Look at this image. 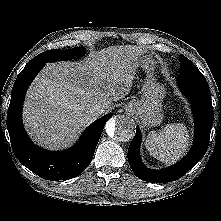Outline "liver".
<instances>
[{"label": "liver", "instance_id": "6515ba94", "mask_svg": "<svg viewBox=\"0 0 221 221\" xmlns=\"http://www.w3.org/2000/svg\"><path fill=\"white\" fill-rule=\"evenodd\" d=\"M142 55L140 47L119 45L84 61L47 64L26 95L23 121L29 136L51 150L71 146L98 118L92 106L107 112L130 92Z\"/></svg>", "mask_w": 221, "mask_h": 221}]
</instances>
